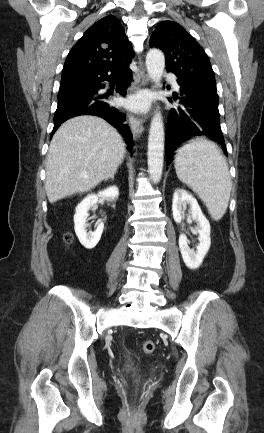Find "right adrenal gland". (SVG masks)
Here are the masks:
<instances>
[{
    "mask_svg": "<svg viewBox=\"0 0 264 433\" xmlns=\"http://www.w3.org/2000/svg\"><path fill=\"white\" fill-rule=\"evenodd\" d=\"M114 175H115V173L113 175H111L110 177L106 178L105 181H108V179L114 180Z\"/></svg>",
    "mask_w": 264,
    "mask_h": 433,
    "instance_id": "2a0ac1e0",
    "label": "right adrenal gland"
}]
</instances>
